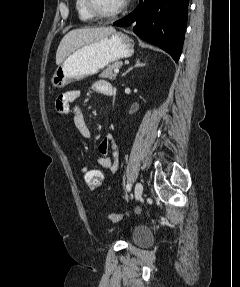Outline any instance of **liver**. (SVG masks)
I'll return each mask as SVG.
<instances>
[{
    "mask_svg": "<svg viewBox=\"0 0 240 287\" xmlns=\"http://www.w3.org/2000/svg\"><path fill=\"white\" fill-rule=\"evenodd\" d=\"M115 28L86 27L69 31L61 40L56 52V64L60 65L64 59L79 47L97 41L115 32Z\"/></svg>",
    "mask_w": 240,
    "mask_h": 287,
    "instance_id": "1",
    "label": "liver"
}]
</instances>
